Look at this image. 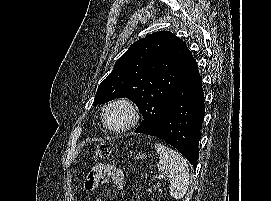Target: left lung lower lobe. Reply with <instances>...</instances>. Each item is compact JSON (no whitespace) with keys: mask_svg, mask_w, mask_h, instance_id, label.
Returning <instances> with one entry per match:
<instances>
[{"mask_svg":"<svg viewBox=\"0 0 271 201\" xmlns=\"http://www.w3.org/2000/svg\"><path fill=\"white\" fill-rule=\"evenodd\" d=\"M204 114L202 79L196 60L186 47L181 80L164 109L161 128L148 134L146 129L139 126L135 132L165 140L196 168Z\"/></svg>","mask_w":271,"mask_h":201,"instance_id":"0a47b994","label":"left lung lower lobe"}]
</instances>
